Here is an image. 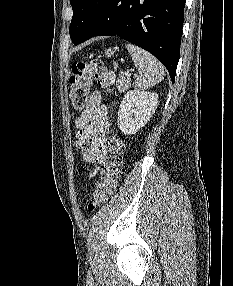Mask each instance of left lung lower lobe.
Masks as SVG:
<instances>
[{
    "label": "left lung lower lobe",
    "instance_id": "1",
    "mask_svg": "<svg viewBox=\"0 0 233 286\" xmlns=\"http://www.w3.org/2000/svg\"><path fill=\"white\" fill-rule=\"evenodd\" d=\"M186 0H104L98 12L74 42L93 36L118 35L159 59L174 83L180 55Z\"/></svg>",
    "mask_w": 233,
    "mask_h": 286
}]
</instances>
